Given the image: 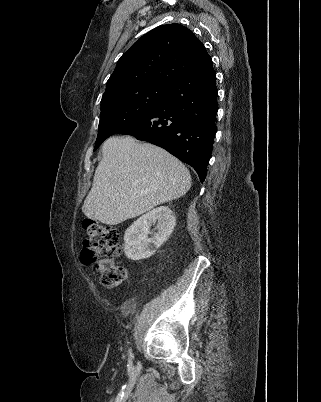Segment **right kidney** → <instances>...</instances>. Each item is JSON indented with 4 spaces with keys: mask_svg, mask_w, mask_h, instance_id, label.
Wrapping results in <instances>:
<instances>
[{
    "mask_svg": "<svg viewBox=\"0 0 321 402\" xmlns=\"http://www.w3.org/2000/svg\"><path fill=\"white\" fill-rule=\"evenodd\" d=\"M156 221L158 231L150 238V228ZM175 225V216L168 206L157 207L142 215L125 232L126 257L134 261L151 257L167 241Z\"/></svg>",
    "mask_w": 321,
    "mask_h": 402,
    "instance_id": "obj_1",
    "label": "right kidney"
}]
</instances>
